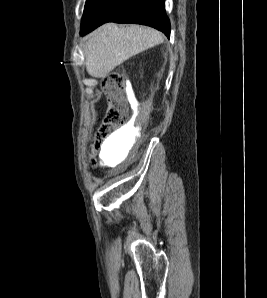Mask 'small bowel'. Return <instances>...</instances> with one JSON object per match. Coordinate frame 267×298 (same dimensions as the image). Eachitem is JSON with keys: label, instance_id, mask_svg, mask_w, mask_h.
<instances>
[{"label": "small bowel", "instance_id": "obj_1", "mask_svg": "<svg viewBox=\"0 0 267 298\" xmlns=\"http://www.w3.org/2000/svg\"><path fill=\"white\" fill-rule=\"evenodd\" d=\"M116 139H117L116 136L113 134L108 138V141L110 144H113L115 143Z\"/></svg>", "mask_w": 267, "mask_h": 298}]
</instances>
